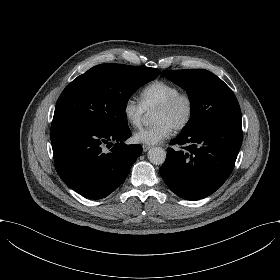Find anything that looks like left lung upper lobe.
<instances>
[{"mask_svg": "<svg viewBox=\"0 0 280 280\" xmlns=\"http://www.w3.org/2000/svg\"><path fill=\"white\" fill-rule=\"evenodd\" d=\"M165 76L188 93L191 118L181 133H188L221 119L241 116L232 90L215 74L203 69L164 70Z\"/></svg>", "mask_w": 280, "mask_h": 280, "instance_id": "5c2ea615", "label": "left lung upper lobe"}]
</instances>
